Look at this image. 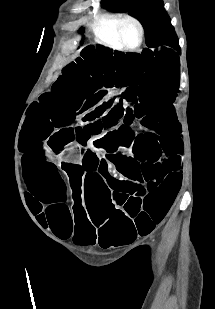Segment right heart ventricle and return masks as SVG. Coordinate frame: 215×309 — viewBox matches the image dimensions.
<instances>
[{
    "label": "right heart ventricle",
    "instance_id": "1",
    "mask_svg": "<svg viewBox=\"0 0 215 309\" xmlns=\"http://www.w3.org/2000/svg\"><path fill=\"white\" fill-rule=\"evenodd\" d=\"M121 15L120 14H108L103 19V16H100L98 21H95L97 31L95 33L96 42L112 48H122V43L120 42L117 35L114 33L117 25L114 23Z\"/></svg>",
    "mask_w": 215,
    "mask_h": 309
}]
</instances>
